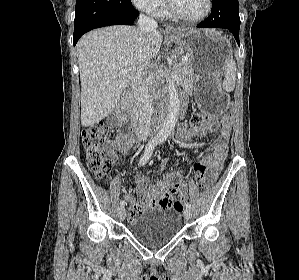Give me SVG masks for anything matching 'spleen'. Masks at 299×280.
Returning <instances> with one entry per match:
<instances>
[{"mask_svg": "<svg viewBox=\"0 0 299 280\" xmlns=\"http://www.w3.org/2000/svg\"><path fill=\"white\" fill-rule=\"evenodd\" d=\"M236 63L231 58L225 67V78L223 81V89L227 92H231L235 88V82H236Z\"/></svg>", "mask_w": 299, "mask_h": 280, "instance_id": "3e777b00", "label": "spleen"}]
</instances>
